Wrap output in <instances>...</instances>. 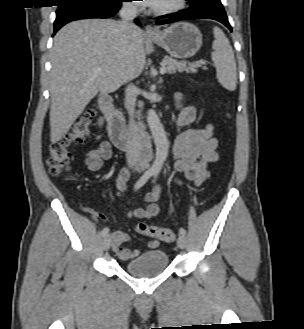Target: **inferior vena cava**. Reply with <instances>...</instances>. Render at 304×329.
<instances>
[{
	"label": "inferior vena cava",
	"mask_w": 304,
	"mask_h": 329,
	"mask_svg": "<svg viewBox=\"0 0 304 329\" xmlns=\"http://www.w3.org/2000/svg\"><path fill=\"white\" fill-rule=\"evenodd\" d=\"M119 15V30L123 37H127L136 27L133 20L137 16V7L129 2L123 3ZM138 96V89L133 84L127 85L125 89V105L130 117L129 123V138L127 150V162L130 166H134L138 162V156L142 147L138 129L135 124V106Z\"/></svg>",
	"instance_id": "inferior-vena-cava-1"
}]
</instances>
